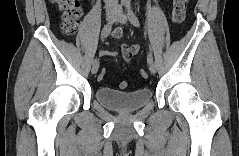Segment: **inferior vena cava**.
I'll return each mask as SVG.
<instances>
[{
  "mask_svg": "<svg viewBox=\"0 0 239 156\" xmlns=\"http://www.w3.org/2000/svg\"><path fill=\"white\" fill-rule=\"evenodd\" d=\"M107 2H111L112 4L116 5L118 0H107Z\"/></svg>",
  "mask_w": 239,
  "mask_h": 156,
  "instance_id": "602c4592",
  "label": "inferior vena cava"
}]
</instances>
